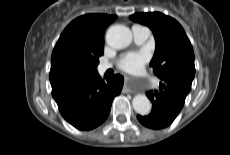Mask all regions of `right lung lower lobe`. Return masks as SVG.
I'll return each mask as SVG.
<instances>
[{
    "instance_id": "98d812e1",
    "label": "right lung lower lobe",
    "mask_w": 230,
    "mask_h": 155,
    "mask_svg": "<svg viewBox=\"0 0 230 155\" xmlns=\"http://www.w3.org/2000/svg\"><path fill=\"white\" fill-rule=\"evenodd\" d=\"M121 75L104 82L98 72L51 82L52 95L62 116L79 130H91L109 115L111 103L120 94Z\"/></svg>"
}]
</instances>
